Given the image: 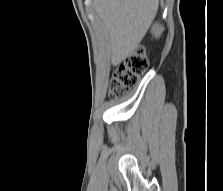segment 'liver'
<instances>
[{
  "instance_id": "1",
  "label": "liver",
  "mask_w": 223,
  "mask_h": 191,
  "mask_svg": "<svg viewBox=\"0 0 223 191\" xmlns=\"http://www.w3.org/2000/svg\"><path fill=\"white\" fill-rule=\"evenodd\" d=\"M159 0H93V8L109 33L111 62L121 63L150 27Z\"/></svg>"
}]
</instances>
